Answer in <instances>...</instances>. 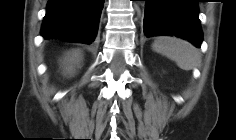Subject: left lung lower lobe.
Masks as SVG:
<instances>
[{
  "label": "left lung lower lobe",
  "instance_id": "1",
  "mask_svg": "<svg viewBox=\"0 0 236 140\" xmlns=\"http://www.w3.org/2000/svg\"><path fill=\"white\" fill-rule=\"evenodd\" d=\"M197 3L198 0H146L145 36L175 35L199 48L202 30Z\"/></svg>",
  "mask_w": 236,
  "mask_h": 140
}]
</instances>
